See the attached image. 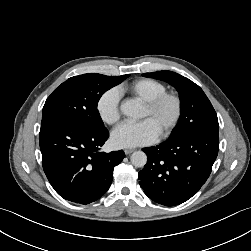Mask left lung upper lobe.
I'll list each match as a JSON object with an SVG mask.
<instances>
[{
    "label": "left lung upper lobe",
    "instance_id": "1",
    "mask_svg": "<svg viewBox=\"0 0 251 251\" xmlns=\"http://www.w3.org/2000/svg\"><path fill=\"white\" fill-rule=\"evenodd\" d=\"M144 77L171 84L180 94L181 116L168 140L176 141L197 131L219 130L216 112L203 90L188 78L172 71L144 73Z\"/></svg>",
    "mask_w": 251,
    "mask_h": 251
}]
</instances>
